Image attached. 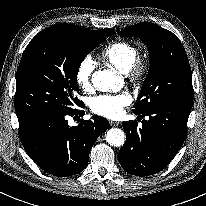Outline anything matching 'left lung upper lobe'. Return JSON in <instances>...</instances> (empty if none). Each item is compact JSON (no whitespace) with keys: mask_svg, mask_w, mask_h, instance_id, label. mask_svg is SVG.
Returning <instances> with one entry per match:
<instances>
[{"mask_svg":"<svg viewBox=\"0 0 206 206\" xmlns=\"http://www.w3.org/2000/svg\"><path fill=\"white\" fill-rule=\"evenodd\" d=\"M119 35L139 37L150 56L149 72L134 104V113L144 114L155 105L192 107L189 61L181 41L172 32L142 22L121 30Z\"/></svg>","mask_w":206,"mask_h":206,"instance_id":"obj_1","label":"left lung upper lobe"}]
</instances>
